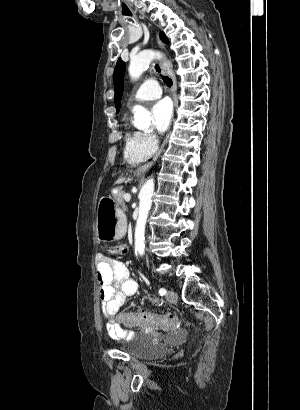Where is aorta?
Segmentation results:
<instances>
[{"label": "aorta", "instance_id": "obj_1", "mask_svg": "<svg viewBox=\"0 0 300 410\" xmlns=\"http://www.w3.org/2000/svg\"><path fill=\"white\" fill-rule=\"evenodd\" d=\"M160 53L154 50H145L131 58L128 68L132 80L138 79L147 69L151 61L160 58ZM134 119L133 125L139 130H147L151 125L150 112L140 105L133 108ZM155 182L153 178L148 179L142 186L139 193V210L138 219L135 227V250L140 254L145 253V227L148 213L152 205Z\"/></svg>", "mask_w": 300, "mask_h": 410}]
</instances>
